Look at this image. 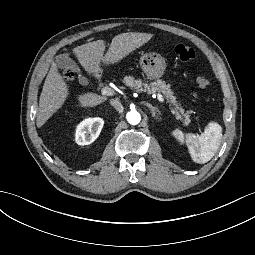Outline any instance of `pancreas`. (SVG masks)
<instances>
[{"label":"pancreas","instance_id":"pancreas-1","mask_svg":"<svg viewBox=\"0 0 255 255\" xmlns=\"http://www.w3.org/2000/svg\"><path fill=\"white\" fill-rule=\"evenodd\" d=\"M123 83L130 87L131 89L135 90L138 93L146 92L147 94H154L156 92H161L165 95L167 100L175 106L173 112L176 113V117L181 119L179 113L183 114L185 117V124L188 125L190 122L189 115L185 114V110L178 104L176 101V97L173 95V91L170 89V84H166L162 80H157L151 83L142 82L141 79L136 80L132 76H125L123 78Z\"/></svg>","mask_w":255,"mask_h":255}]
</instances>
